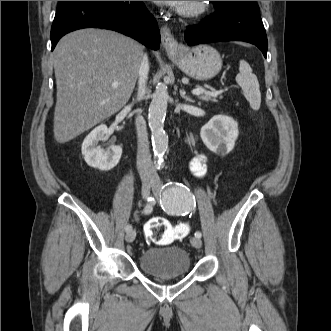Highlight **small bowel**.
I'll return each mask as SVG.
<instances>
[{
	"instance_id": "1",
	"label": "small bowel",
	"mask_w": 331,
	"mask_h": 331,
	"mask_svg": "<svg viewBox=\"0 0 331 331\" xmlns=\"http://www.w3.org/2000/svg\"><path fill=\"white\" fill-rule=\"evenodd\" d=\"M190 170L197 177H203L207 172V157L204 154H198L190 161Z\"/></svg>"
}]
</instances>
